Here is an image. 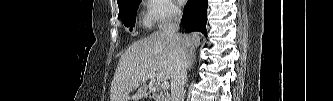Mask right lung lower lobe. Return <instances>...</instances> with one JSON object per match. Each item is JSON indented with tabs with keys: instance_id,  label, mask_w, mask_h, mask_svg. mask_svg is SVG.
Segmentation results:
<instances>
[{
	"instance_id": "1",
	"label": "right lung lower lobe",
	"mask_w": 333,
	"mask_h": 101,
	"mask_svg": "<svg viewBox=\"0 0 333 101\" xmlns=\"http://www.w3.org/2000/svg\"><path fill=\"white\" fill-rule=\"evenodd\" d=\"M207 0H188L181 20L182 26L189 32L200 31L206 34Z\"/></svg>"
}]
</instances>
